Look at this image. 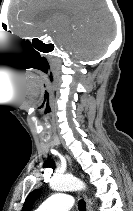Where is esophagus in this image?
Listing matches in <instances>:
<instances>
[{
  "label": "esophagus",
  "mask_w": 133,
  "mask_h": 211,
  "mask_svg": "<svg viewBox=\"0 0 133 211\" xmlns=\"http://www.w3.org/2000/svg\"><path fill=\"white\" fill-rule=\"evenodd\" d=\"M84 196V199H85V202H86V211H92V208H91V205H90V202L87 198L86 195H83Z\"/></svg>",
  "instance_id": "1"
}]
</instances>
